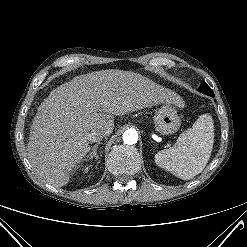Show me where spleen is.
I'll return each mask as SVG.
<instances>
[{"instance_id":"spleen-1","label":"spleen","mask_w":247,"mask_h":247,"mask_svg":"<svg viewBox=\"0 0 247 247\" xmlns=\"http://www.w3.org/2000/svg\"><path fill=\"white\" fill-rule=\"evenodd\" d=\"M214 143L212 116H199L192 128L180 134L170 148L155 155L156 164L183 180L192 179L203 171L209 161Z\"/></svg>"}]
</instances>
